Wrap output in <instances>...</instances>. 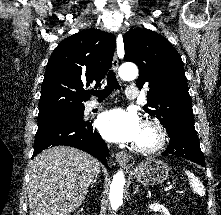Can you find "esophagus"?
Listing matches in <instances>:
<instances>
[{"instance_id": "esophagus-1", "label": "esophagus", "mask_w": 221, "mask_h": 215, "mask_svg": "<svg viewBox=\"0 0 221 215\" xmlns=\"http://www.w3.org/2000/svg\"><path fill=\"white\" fill-rule=\"evenodd\" d=\"M112 64L114 71L117 73L119 67V60L116 55H114L113 57ZM116 162L121 166L130 167L134 164V159L127 153L120 151L116 153Z\"/></svg>"}]
</instances>
